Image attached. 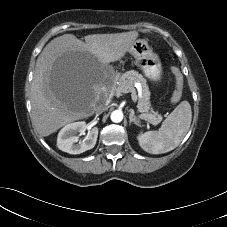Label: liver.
<instances>
[{
	"label": "liver",
	"mask_w": 227,
	"mask_h": 227,
	"mask_svg": "<svg viewBox=\"0 0 227 227\" xmlns=\"http://www.w3.org/2000/svg\"><path fill=\"white\" fill-rule=\"evenodd\" d=\"M138 35L137 31L92 34L85 36L83 42L72 34H64L45 46L37 58L31 85L32 122L39 135L49 136L64 125L95 112L96 102L106 89L104 77L98 73V63L123 58ZM67 52L81 55L88 73L77 90L63 93L52 86L49 72L56 59Z\"/></svg>",
	"instance_id": "liver-1"
}]
</instances>
